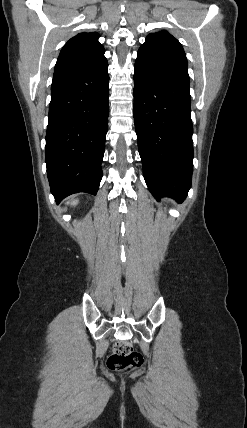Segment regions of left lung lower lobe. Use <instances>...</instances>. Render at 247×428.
Listing matches in <instances>:
<instances>
[{
    "instance_id": "obj_1",
    "label": "left lung lower lobe",
    "mask_w": 247,
    "mask_h": 428,
    "mask_svg": "<svg viewBox=\"0 0 247 428\" xmlns=\"http://www.w3.org/2000/svg\"><path fill=\"white\" fill-rule=\"evenodd\" d=\"M187 65L140 48L134 67V119L150 192L182 202L191 187L193 126Z\"/></svg>"
}]
</instances>
